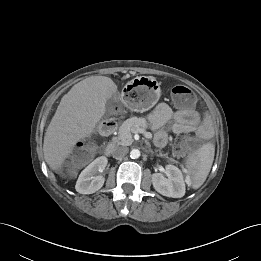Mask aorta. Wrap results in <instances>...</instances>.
Masks as SVG:
<instances>
[{
    "instance_id": "obj_1",
    "label": "aorta",
    "mask_w": 261,
    "mask_h": 261,
    "mask_svg": "<svg viewBox=\"0 0 261 261\" xmlns=\"http://www.w3.org/2000/svg\"><path fill=\"white\" fill-rule=\"evenodd\" d=\"M130 157L132 159H137L140 157V151L138 149H132L130 152Z\"/></svg>"
}]
</instances>
